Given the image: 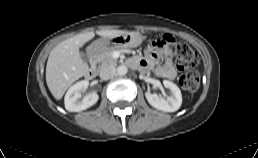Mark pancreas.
<instances>
[{"label":"pancreas","mask_w":258,"mask_h":158,"mask_svg":"<svg viewBox=\"0 0 258 158\" xmlns=\"http://www.w3.org/2000/svg\"><path fill=\"white\" fill-rule=\"evenodd\" d=\"M117 49H110L108 51H105L98 59V62L100 63V67L105 66H115L117 65V60L112 57V53Z\"/></svg>","instance_id":"obj_1"}]
</instances>
